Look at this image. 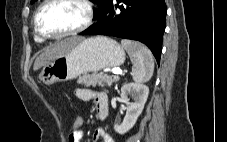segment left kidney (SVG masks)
<instances>
[{"label":"left kidney","instance_id":"obj_1","mask_svg":"<svg viewBox=\"0 0 227 142\" xmlns=\"http://www.w3.org/2000/svg\"><path fill=\"white\" fill-rule=\"evenodd\" d=\"M148 94L149 88L144 84L128 83L122 86L120 97L126 104V115L122 124L114 125V129L117 133L125 134L135 125L138 117L144 109ZM128 96L132 97V102H129Z\"/></svg>","mask_w":227,"mask_h":142}]
</instances>
